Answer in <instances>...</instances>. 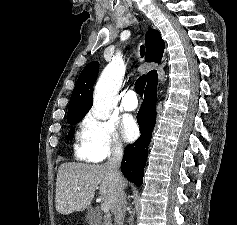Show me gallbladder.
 Listing matches in <instances>:
<instances>
[{"mask_svg":"<svg viewBox=\"0 0 237 225\" xmlns=\"http://www.w3.org/2000/svg\"><path fill=\"white\" fill-rule=\"evenodd\" d=\"M87 220L90 225H99L101 222L99 218H97L96 220H91L90 218H87Z\"/></svg>","mask_w":237,"mask_h":225,"instance_id":"gallbladder-1","label":"gallbladder"}]
</instances>
